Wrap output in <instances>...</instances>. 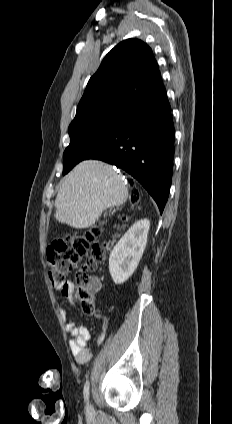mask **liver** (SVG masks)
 Masks as SVG:
<instances>
[{
	"label": "liver",
	"instance_id": "obj_1",
	"mask_svg": "<svg viewBox=\"0 0 232 424\" xmlns=\"http://www.w3.org/2000/svg\"><path fill=\"white\" fill-rule=\"evenodd\" d=\"M128 199L123 175L99 160L80 162L64 178L55 199V219L76 229L92 226L110 206Z\"/></svg>",
	"mask_w": 232,
	"mask_h": 424
}]
</instances>
